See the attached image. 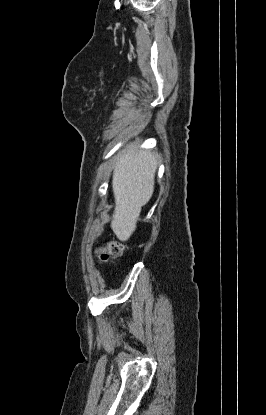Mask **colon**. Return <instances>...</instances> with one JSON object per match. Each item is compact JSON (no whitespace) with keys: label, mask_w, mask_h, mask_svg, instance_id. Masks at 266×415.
Wrapping results in <instances>:
<instances>
[{"label":"colon","mask_w":266,"mask_h":415,"mask_svg":"<svg viewBox=\"0 0 266 415\" xmlns=\"http://www.w3.org/2000/svg\"><path fill=\"white\" fill-rule=\"evenodd\" d=\"M124 250L120 242L111 241L97 250V257L100 262H105L111 257H119Z\"/></svg>","instance_id":"colon-1"}]
</instances>
